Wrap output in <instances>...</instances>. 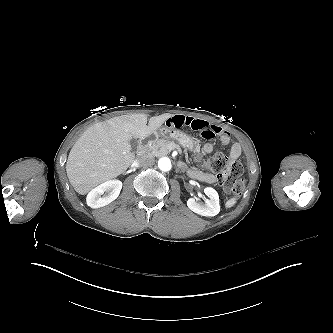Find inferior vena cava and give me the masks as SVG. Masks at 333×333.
<instances>
[{
  "instance_id": "1",
  "label": "inferior vena cava",
  "mask_w": 333,
  "mask_h": 333,
  "mask_svg": "<svg viewBox=\"0 0 333 333\" xmlns=\"http://www.w3.org/2000/svg\"><path fill=\"white\" fill-rule=\"evenodd\" d=\"M154 162V158L147 155H144L137 160V163L142 166H152Z\"/></svg>"
}]
</instances>
